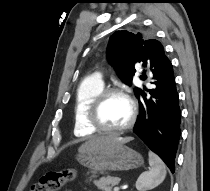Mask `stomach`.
<instances>
[{
    "label": "stomach",
    "instance_id": "obj_1",
    "mask_svg": "<svg viewBox=\"0 0 210 191\" xmlns=\"http://www.w3.org/2000/svg\"><path fill=\"white\" fill-rule=\"evenodd\" d=\"M77 161L93 172L128 171L144 164L142 155L124 144L79 151Z\"/></svg>",
    "mask_w": 210,
    "mask_h": 191
}]
</instances>
